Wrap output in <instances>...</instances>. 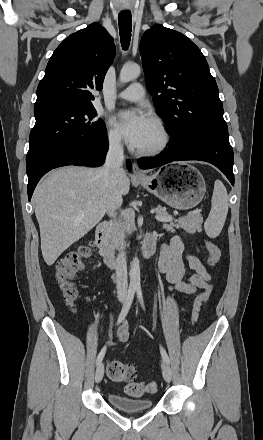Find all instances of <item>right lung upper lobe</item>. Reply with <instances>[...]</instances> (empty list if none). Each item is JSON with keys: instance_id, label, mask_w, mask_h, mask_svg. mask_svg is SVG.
I'll use <instances>...</instances> for the list:
<instances>
[{"instance_id": "1", "label": "right lung upper lobe", "mask_w": 263, "mask_h": 440, "mask_svg": "<svg viewBox=\"0 0 263 440\" xmlns=\"http://www.w3.org/2000/svg\"><path fill=\"white\" fill-rule=\"evenodd\" d=\"M115 52L113 38L100 24L71 34L49 59L34 108L92 104V91L102 89Z\"/></svg>"}]
</instances>
